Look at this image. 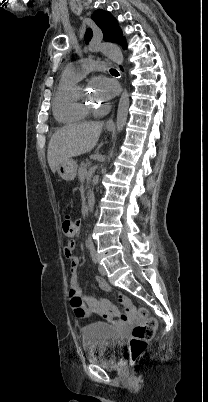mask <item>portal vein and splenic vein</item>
Here are the masks:
<instances>
[{
  "label": "portal vein and splenic vein",
  "instance_id": "1",
  "mask_svg": "<svg viewBox=\"0 0 208 402\" xmlns=\"http://www.w3.org/2000/svg\"><path fill=\"white\" fill-rule=\"evenodd\" d=\"M88 166V163L87 162H84L83 163V166H81V169H84V167H87Z\"/></svg>",
  "mask_w": 208,
  "mask_h": 402
}]
</instances>
